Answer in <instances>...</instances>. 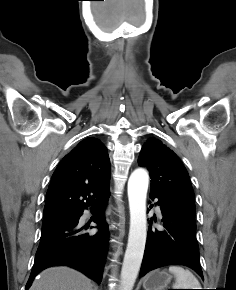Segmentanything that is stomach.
I'll list each match as a JSON object with an SVG mask.
<instances>
[{
    "label": "stomach",
    "instance_id": "stomach-1",
    "mask_svg": "<svg viewBox=\"0 0 236 290\" xmlns=\"http://www.w3.org/2000/svg\"><path fill=\"white\" fill-rule=\"evenodd\" d=\"M171 278L166 272L153 271L144 277L143 287L145 290H164L168 287Z\"/></svg>",
    "mask_w": 236,
    "mask_h": 290
}]
</instances>
